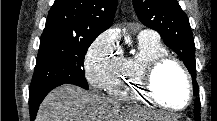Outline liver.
Listing matches in <instances>:
<instances>
[{"instance_id": "obj_1", "label": "liver", "mask_w": 217, "mask_h": 121, "mask_svg": "<svg viewBox=\"0 0 217 121\" xmlns=\"http://www.w3.org/2000/svg\"><path fill=\"white\" fill-rule=\"evenodd\" d=\"M145 113L137 107L96 95L74 85L52 90L39 107L36 121H137ZM152 121H171L157 114Z\"/></svg>"}]
</instances>
